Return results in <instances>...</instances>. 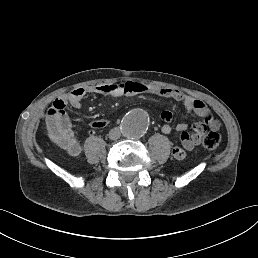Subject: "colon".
Returning a JSON list of instances; mask_svg holds the SVG:
<instances>
[{
    "label": "colon",
    "instance_id": "obj_1",
    "mask_svg": "<svg viewBox=\"0 0 258 258\" xmlns=\"http://www.w3.org/2000/svg\"><path fill=\"white\" fill-rule=\"evenodd\" d=\"M220 134L216 129L208 130L202 139V144L206 149H215L220 144Z\"/></svg>",
    "mask_w": 258,
    "mask_h": 258
}]
</instances>
